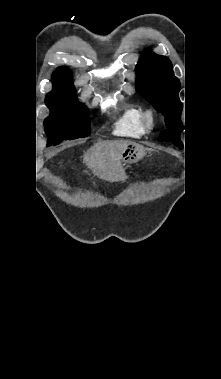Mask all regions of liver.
I'll use <instances>...</instances> for the list:
<instances>
[{
    "label": "liver",
    "instance_id": "6515ba94",
    "mask_svg": "<svg viewBox=\"0 0 221 379\" xmlns=\"http://www.w3.org/2000/svg\"><path fill=\"white\" fill-rule=\"evenodd\" d=\"M130 144L133 143L124 140L98 142L84 153L83 162L99 178L110 182L121 181L125 177L121 155Z\"/></svg>",
    "mask_w": 221,
    "mask_h": 379
}]
</instances>
